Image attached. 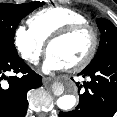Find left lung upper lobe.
<instances>
[{"mask_svg": "<svg viewBox=\"0 0 117 117\" xmlns=\"http://www.w3.org/2000/svg\"><path fill=\"white\" fill-rule=\"evenodd\" d=\"M97 26L101 32L100 45L94 59L87 67L96 64L112 50L117 49V28L114 24L107 19L98 18Z\"/></svg>", "mask_w": 117, "mask_h": 117, "instance_id": "left-lung-upper-lobe-1", "label": "left lung upper lobe"}]
</instances>
